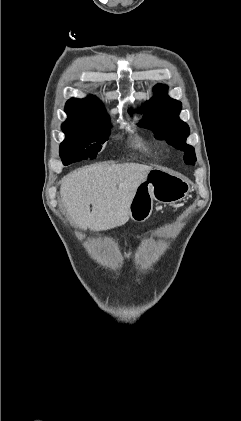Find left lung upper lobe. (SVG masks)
Instances as JSON below:
<instances>
[{
  "label": "left lung upper lobe",
  "mask_w": 241,
  "mask_h": 421,
  "mask_svg": "<svg viewBox=\"0 0 241 421\" xmlns=\"http://www.w3.org/2000/svg\"><path fill=\"white\" fill-rule=\"evenodd\" d=\"M155 96L143 107L142 127H148L158 139H165L170 145L184 151V162L194 165L196 156L194 148L186 143L189 127L179 118L181 102L166 95L167 87L156 85Z\"/></svg>",
  "instance_id": "1"
}]
</instances>
